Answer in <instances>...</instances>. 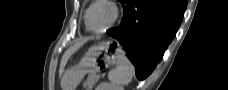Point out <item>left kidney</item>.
Instances as JSON below:
<instances>
[{
	"label": "left kidney",
	"mask_w": 228,
	"mask_h": 90,
	"mask_svg": "<svg viewBox=\"0 0 228 90\" xmlns=\"http://www.w3.org/2000/svg\"><path fill=\"white\" fill-rule=\"evenodd\" d=\"M96 90H124L123 86L112 85L107 82L101 83Z\"/></svg>",
	"instance_id": "left-kidney-1"
}]
</instances>
